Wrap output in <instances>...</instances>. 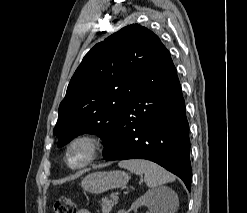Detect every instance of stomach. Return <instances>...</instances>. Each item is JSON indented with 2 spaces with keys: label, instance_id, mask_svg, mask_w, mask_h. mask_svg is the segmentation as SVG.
<instances>
[{
  "label": "stomach",
  "instance_id": "stomach-1",
  "mask_svg": "<svg viewBox=\"0 0 247 213\" xmlns=\"http://www.w3.org/2000/svg\"><path fill=\"white\" fill-rule=\"evenodd\" d=\"M129 176L123 171H97L88 174L81 182L84 191L101 194L109 189L125 186Z\"/></svg>",
  "mask_w": 247,
  "mask_h": 213
}]
</instances>
